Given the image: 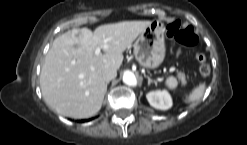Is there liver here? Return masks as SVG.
<instances>
[{
  "instance_id": "liver-1",
  "label": "liver",
  "mask_w": 247,
  "mask_h": 145,
  "mask_svg": "<svg viewBox=\"0 0 247 145\" xmlns=\"http://www.w3.org/2000/svg\"><path fill=\"white\" fill-rule=\"evenodd\" d=\"M151 22L123 21L101 25L94 32L74 28L55 38L40 74L46 104L67 117L96 115L107 90L103 69L118 70L123 52ZM97 47H102L105 53L96 56Z\"/></svg>"
}]
</instances>
